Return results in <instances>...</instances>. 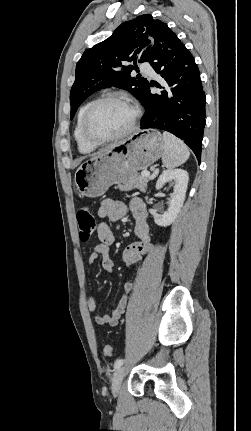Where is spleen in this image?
<instances>
[{"mask_svg": "<svg viewBox=\"0 0 251 431\" xmlns=\"http://www.w3.org/2000/svg\"><path fill=\"white\" fill-rule=\"evenodd\" d=\"M164 152L162 162L171 169L183 164L190 156L188 147L174 135L163 132Z\"/></svg>", "mask_w": 251, "mask_h": 431, "instance_id": "1", "label": "spleen"}]
</instances>
